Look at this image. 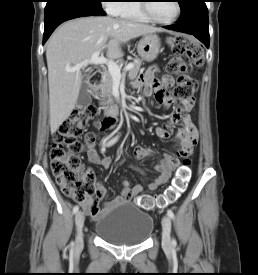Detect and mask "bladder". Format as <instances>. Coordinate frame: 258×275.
I'll use <instances>...</instances> for the list:
<instances>
[{"mask_svg": "<svg viewBox=\"0 0 258 275\" xmlns=\"http://www.w3.org/2000/svg\"><path fill=\"white\" fill-rule=\"evenodd\" d=\"M154 228L152 216L132 203H123L95 223L94 232L103 240L117 245L144 243Z\"/></svg>", "mask_w": 258, "mask_h": 275, "instance_id": "1", "label": "bladder"}]
</instances>
